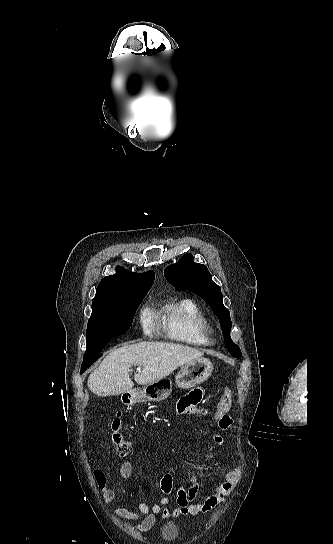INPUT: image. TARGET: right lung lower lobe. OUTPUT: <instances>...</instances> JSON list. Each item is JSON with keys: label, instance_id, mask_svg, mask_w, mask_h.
<instances>
[{"label": "right lung lower lobe", "instance_id": "obj_1", "mask_svg": "<svg viewBox=\"0 0 333 544\" xmlns=\"http://www.w3.org/2000/svg\"><path fill=\"white\" fill-rule=\"evenodd\" d=\"M91 364H92V363H91ZM91 364H88V365H86V366H84V367H81L80 373H83V372H84Z\"/></svg>", "mask_w": 333, "mask_h": 544}]
</instances>
